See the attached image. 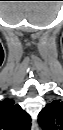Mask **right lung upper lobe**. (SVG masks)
<instances>
[{
    "label": "right lung upper lobe",
    "instance_id": "obj_1",
    "mask_svg": "<svg viewBox=\"0 0 63 130\" xmlns=\"http://www.w3.org/2000/svg\"><path fill=\"white\" fill-rule=\"evenodd\" d=\"M31 118L14 100L5 99L0 102V127L3 130H28Z\"/></svg>",
    "mask_w": 63,
    "mask_h": 130
}]
</instances>
